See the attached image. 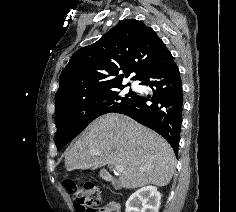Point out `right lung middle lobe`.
<instances>
[{
	"instance_id": "obj_1",
	"label": "right lung middle lobe",
	"mask_w": 236,
	"mask_h": 212,
	"mask_svg": "<svg viewBox=\"0 0 236 212\" xmlns=\"http://www.w3.org/2000/svg\"><path fill=\"white\" fill-rule=\"evenodd\" d=\"M124 87L79 99L56 111L57 134L55 142L57 150L72 141L97 117L115 112L120 107L130 104L136 94L131 90L126 95L121 94L119 90Z\"/></svg>"
}]
</instances>
